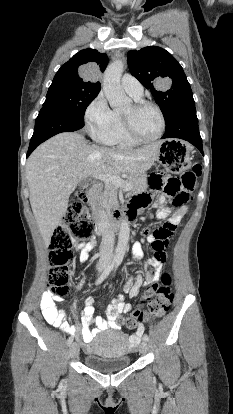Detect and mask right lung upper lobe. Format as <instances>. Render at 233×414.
I'll use <instances>...</instances> for the list:
<instances>
[{"label": "right lung upper lobe", "mask_w": 233, "mask_h": 414, "mask_svg": "<svg viewBox=\"0 0 233 414\" xmlns=\"http://www.w3.org/2000/svg\"><path fill=\"white\" fill-rule=\"evenodd\" d=\"M108 62L105 53H99L95 49H84L75 54L68 62L60 67L54 80H62L72 84L85 86L88 88L101 89L99 82L87 81L79 75V69L83 65L90 66L91 69H98L104 72Z\"/></svg>", "instance_id": "right-lung-upper-lobe-1"}]
</instances>
